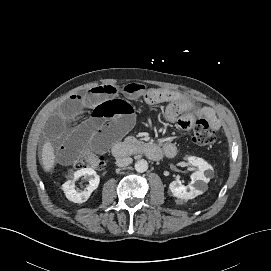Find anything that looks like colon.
Instances as JSON below:
<instances>
[{"label": "colon", "mask_w": 271, "mask_h": 271, "mask_svg": "<svg viewBox=\"0 0 271 271\" xmlns=\"http://www.w3.org/2000/svg\"><path fill=\"white\" fill-rule=\"evenodd\" d=\"M181 129H194L193 141L200 146L210 147L216 141L215 130L210 119L202 115L198 118L188 117L177 121ZM79 169L92 168L102 169L104 167V158L94 152L86 151L75 163Z\"/></svg>", "instance_id": "5ec220e1"}]
</instances>
